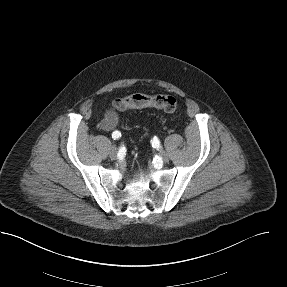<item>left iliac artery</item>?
I'll list each match as a JSON object with an SVG mask.
<instances>
[{"label": "left iliac artery", "mask_w": 287, "mask_h": 287, "mask_svg": "<svg viewBox=\"0 0 287 287\" xmlns=\"http://www.w3.org/2000/svg\"><path fill=\"white\" fill-rule=\"evenodd\" d=\"M151 142H152V146L154 147V148H160L161 146H160V141L158 140V138L157 137H154L152 140H151Z\"/></svg>", "instance_id": "left-iliac-artery-1"}]
</instances>
